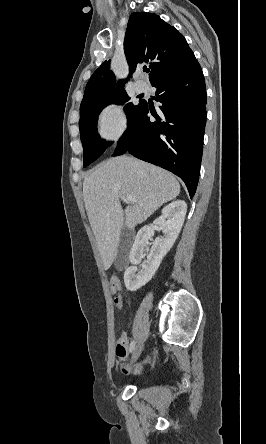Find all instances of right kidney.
I'll return each instance as SVG.
<instances>
[{"label": "right kidney", "instance_id": "1", "mask_svg": "<svg viewBox=\"0 0 266 444\" xmlns=\"http://www.w3.org/2000/svg\"><path fill=\"white\" fill-rule=\"evenodd\" d=\"M186 211L187 205L184 201H174L163 208L162 214L153 222V227L145 226L138 231L129 255L132 266L124 272V283L129 291L138 290L155 275L163 257L172 248L180 233ZM156 226L162 230L164 236L155 239L147 255V260L142 265V269L138 271L137 265L144 257L148 241L154 235Z\"/></svg>", "mask_w": 266, "mask_h": 444}]
</instances>
